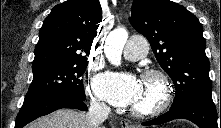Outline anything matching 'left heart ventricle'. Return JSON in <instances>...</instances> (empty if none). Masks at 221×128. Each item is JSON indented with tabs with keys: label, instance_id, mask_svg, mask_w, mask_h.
I'll return each instance as SVG.
<instances>
[{
	"label": "left heart ventricle",
	"instance_id": "1",
	"mask_svg": "<svg viewBox=\"0 0 221 128\" xmlns=\"http://www.w3.org/2000/svg\"><path fill=\"white\" fill-rule=\"evenodd\" d=\"M158 87L155 83L150 81H143L140 92L132 107L148 108L154 101Z\"/></svg>",
	"mask_w": 221,
	"mask_h": 128
}]
</instances>
